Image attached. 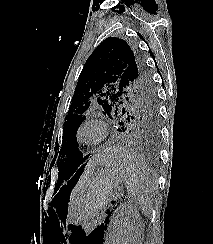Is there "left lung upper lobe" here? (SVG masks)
<instances>
[{
    "label": "left lung upper lobe",
    "mask_w": 213,
    "mask_h": 244,
    "mask_svg": "<svg viewBox=\"0 0 213 244\" xmlns=\"http://www.w3.org/2000/svg\"><path fill=\"white\" fill-rule=\"evenodd\" d=\"M94 102L102 107L105 116L125 124L141 138L158 136V102L149 70L126 41L108 37L87 59L71 100L70 112L65 117V141L58 158V184L72 175L81 153L76 141L77 129Z\"/></svg>",
    "instance_id": "obj_1"
}]
</instances>
